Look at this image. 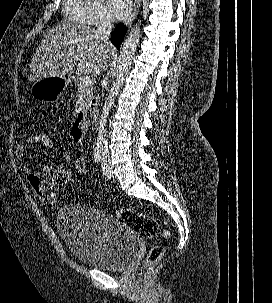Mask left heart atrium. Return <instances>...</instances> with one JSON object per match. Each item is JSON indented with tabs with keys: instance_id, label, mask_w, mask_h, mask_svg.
I'll use <instances>...</instances> for the list:
<instances>
[{
	"instance_id": "39dd6f15",
	"label": "left heart atrium",
	"mask_w": 272,
	"mask_h": 303,
	"mask_svg": "<svg viewBox=\"0 0 272 303\" xmlns=\"http://www.w3.org/2000/svg\"><path fill=\"white\" fill-rule=\"evenodd\" d=\"M106 6L114 19H124L131 11V0H106Z\"/></svg>"
}]
</instances>
